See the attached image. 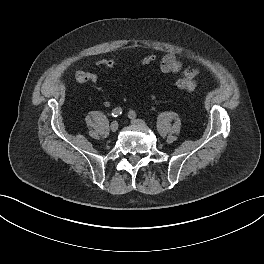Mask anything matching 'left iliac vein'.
I'll return each instance as SVG.
<instances>
[{
    "label": "left iliac vein",
    "instance_id": "4c4485c4",
    "mask_svg": "<svg viewBox=\"0 0 264 264\" xmlns=\"http://www.w3.org/2000/svg\"><path fill=\"white\" fill-rule=\"evenodd\" d=\"M131 123H132V125L137 126V127H145L146 126V123L141 119L132 118Z\"/></svg>",
    "mask_w": 264,
    "mask_h": 264
}]
</instances>
